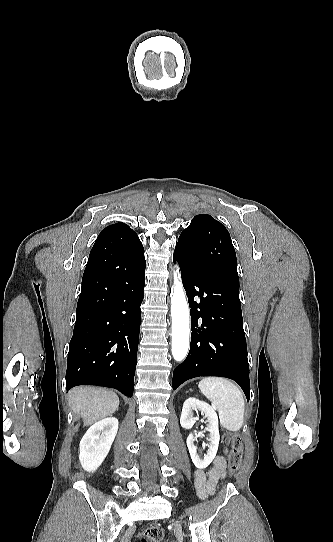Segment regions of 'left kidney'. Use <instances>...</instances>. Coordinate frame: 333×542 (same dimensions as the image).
<instances>
[{"mask_svg": "<svg viewBox=\"0 0 333 542\" xmlns=\"http://www.w3.org/2000/svg\"><path fill=\"white\" fill-rule=\"evenodd\" d=\"M192 410H200L201 414H204L205 418L208 420L207 432H210V446H208L209 450L207 454H205L204 458H199L197 454V448L194 446V436L193 434H189L187 438V448L190 452L191 460L196 466V468H199V470H204V468H207L211 462H213L218 446H219V430H218V416L209 406V404H206V402H200V400H196V398H188V400H185L181 412V418H180V424L182 428H185V430H191L193 428L196 420L198 418H193Z\"/></svg>", "mask_w": 333, "mask_h": 542, "instance_id": "obj_1", "label": "left kidney"}]
</instances>
